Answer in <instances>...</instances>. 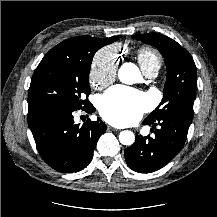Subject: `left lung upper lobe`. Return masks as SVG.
Listing matches in <instances>:
<instances>
[{"label":"left lung upper lobe","mask_w":217,"mask_h":217,"mask_svg":"<svg viewBox=\"0 0 217 217\" xmlns=\"http://www.w3.org/2000/svg\"><path fill=\"white\" fill-rule=\"evenodd\" d=\"M132 37L155 46L163 55L167 66L163 99L146 119L156 121L163 117L177 116L192 121L197 69L190 53L163 34L147 33Z\"/></svg>","instance_id":"obj_1"}]
</instances>
